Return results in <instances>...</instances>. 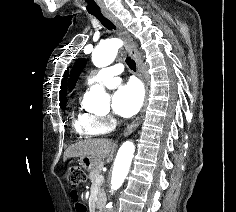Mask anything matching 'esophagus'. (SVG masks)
<instances>
[{"label": "esophagus", "instance_id": "esophagus-1", "mask_svg": "<svg viewBox=\"0 0 236 212\" xmlns=\"http://www.w3.org/2000/svg\"><path fill=\"white\" fill-rule=\"evenodd\" d=\"M104 16L106 18H108L114 24V26L116 27L118 36L121 37L124 40V42H125V49L128 52V54L133 59L136 60V62L138 64V70L140 72V76H141V78H142V80H143V82L145 84L146 96H145V102H144L142 111H141L140 115L137 117L136 121L134 123H132L131 125H129L125 129L124 135H127V134L131 133L140 123L141 117H142V115H143V113L145 111V107H146V104H147L148 85H147L146 79L144 77L143 70H142V68L140 66V61L138 59V55H137V51H136L135 45L132 42L128 32L123 28L122 24L111 13L104 12Z\"/></svg>", "mask_w": 236, "mask_h": 212}]
</instances>
